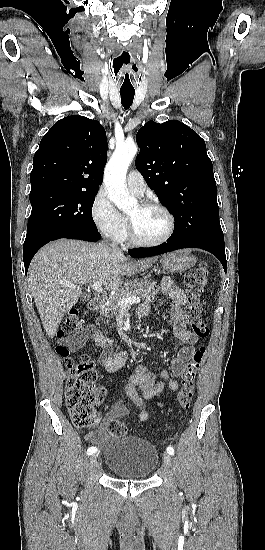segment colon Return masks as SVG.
Here are the masks:
<instances>
[{
  "label": "colon",
  "mask_w": 265,
  "mask_h": 550,
  "mask_svg": "<svg viewBox=\"0 0 265 550\" xmlns=\"http://www.w3.org/2000/svg\"><path fill=\"white\" fill-rule=\"evenodd\" d=\"M209 270L206 264H200L191 270L185 277V286L188 297L186 318L193 332L200 338H208L210 329L203 319L202 295L208 282ZM86 329V322L76 309L70 310L60 329L58 337L78 334ZM56 352L65 358L70 377L66 383V407L74 426L78 428L90 427L95 423V406L105 395L104 390L96 384L97 373L94 362L86 355L78 359L69 357L70 351L64 345H58ZM206 352L205 346L198 347L189 360L182 376V386L177 395L179 406L188 410L193 401L195 381ZM112 436L121 437L127 432L125 424L119 420H111L107 426Z\"/></svg>",
  "instance_id": "colon-1"
}]
</instances>
